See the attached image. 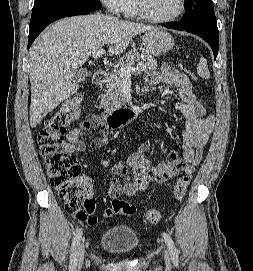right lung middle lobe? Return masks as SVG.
Masks as SVG:
<instances>
[{"instance_id": "1", "label": "right lung middle lobe", "mask_w": 253, "mask_h": 271, "mask_svg": "<svg viewBox=\"0 0 253 271\" xmlns=\"http://www.w3.org/2000/svg\"><path fill=\"white\" fill-rule=\"evenodd\" d=\"M76 6L95 10L101 8V2L99 0H35L30 23L49 12Z\"/></svg>"}]
</instances>
